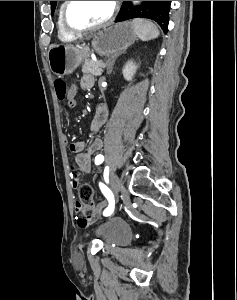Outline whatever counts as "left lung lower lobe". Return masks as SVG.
<instances>
[{
  "instance_id": "left-lung-lower-lobe-1",
  "label": "left lung lower lobe",
  "mask_w": 237,
  "mask_h": 300,
  "mask_svg": "<svg viewBox=\"0 0 237 300\" xmlns=\"http://www.w3.org/2000/svg\"><path fill=\"white\" fill-rule=\"evenodd\" d=\"M171 1H165V5L170 6Z\"/></svg>"
}]
</instances>
